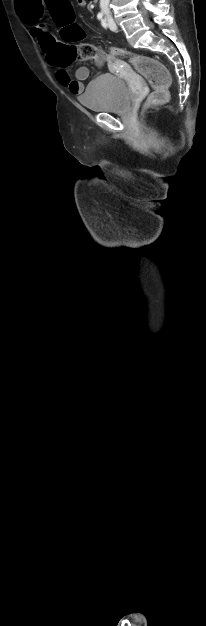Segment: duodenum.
<instances>
[{
    "label": "duodenum",
    "instance_id": "obj_1",
    "mask_svg": "<svg viewBox=\"0 0 206 626\" xmlns=\"http://www.w3.org/2000/svg\"><path fill=\"white\" fill-rule=\"evenodd\" d=\"M92 2H97L98 0H91Z\"/></svg>",
    "mask_w": 206,
    "mask_h": 626
}]
</instances>
